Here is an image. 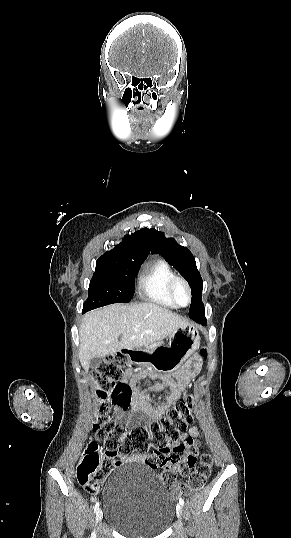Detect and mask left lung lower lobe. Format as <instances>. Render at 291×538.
<instances>
[{"mask_svg":"<svg viewBox=\"0 0 291 538\" xmlns=\"http://www.w3.org/2000/svg\"><path fill=\"white\" fill-rule=\"evenodd\" d=\"M192 319L202 325H205L207 323V320L205 318V309H199L198 312L192 315Z\"/></svg>","mask_w":291,"mask_h":538,"instance_id":"1","label":"left lung lower lobe"}]
</instances>
